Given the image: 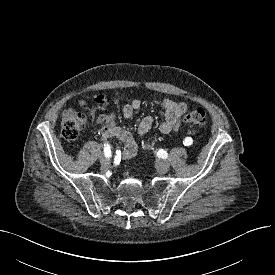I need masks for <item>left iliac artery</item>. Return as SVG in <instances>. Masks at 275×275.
<instances>
[{
	"label": "left iliac artery",
	"instance_id": "44dca946",
	"mask_svg": "<svg viewBox=\"0 0 275 275\" xmlns=\"http://www.w3.org/2000/svg\"><path fill=\"white\" fill-rule=\"evenodd\" d=\"M183 144H184L185 146H190V145L193 144V139H192L191 137H186V138L184 139V141H183Z\"/></svg>",
	"mask_w": 275,
	"mask_h": 275
}]
</instances>
